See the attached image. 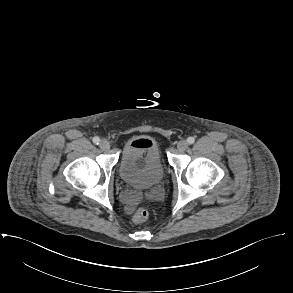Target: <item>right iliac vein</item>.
<instances>
[{"mask_svg": "<svg viewBox=\"0 0 293 293\" xmlns=\"http://www.w3.org/2000/svg\"><path fill=\"white\" fill-rule=\"evenodd\" d=\"M99 146L102 150H108L110 148V143L107 140L103 139L100 141Z\"/></svg>", "mask_w": 293, "mask_h": 293, "instance_id": "1", "label": "right iliac vein"}]
</instances>
